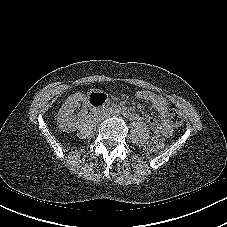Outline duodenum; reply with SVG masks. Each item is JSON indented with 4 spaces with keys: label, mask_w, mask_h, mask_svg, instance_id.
Returning <instances> with one entry per match:
<instances>
[{
    "label": "duodenum",
    "mask_w": 227,
    "mask_h": 227,
    "mask_svg": "<svg viewBox=\"0 0 227 227\" xmlns=\"http://www.w3.org/2000/svg\"><path fill=\"white\" fill-rule=\"evenodd\" d=\"M90 103H91V106L93 107V109L96 110L97 108H99L107 103V98L105 95H99V96L92 98L90 100ZM123 113L127 118H129L131 120L138 119V115L136 113L128 112V111H124Z\"/></svg>",
    "instance_id": "1"
}]
</instances>
